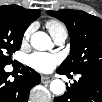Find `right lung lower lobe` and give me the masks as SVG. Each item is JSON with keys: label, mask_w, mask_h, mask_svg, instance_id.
I'll list each match as a JSON object with an SVG mask.
<instances>
[{"label": "right lung lower lobe", "mask_w": 102, "mask_h": 102, "mask_svg": "<svg viewBox=\"0 0 102 102\" xmlns=\"http://www.w3.org/2000/svg\"><path fill=\"white\" fill-rule=\"evenodd\" d=\"M21 75L8 79L9 73L0 66V99L4 102H27L31 88L40 83V75L30 67H23Z\"/></svg>", "instance_id": "1"}]
</instances>
